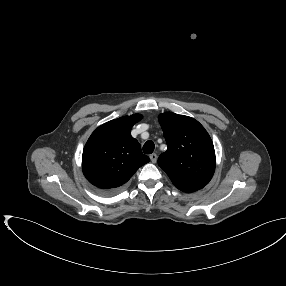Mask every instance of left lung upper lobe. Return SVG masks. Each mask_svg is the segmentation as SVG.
Here are the masks:
<instances>
[{
    "label": "left lung upper lobe",
    "mask_w": 286,
    "mask_h": 286,
    "mask_svg": "<svg viewBox=\"0 0 286 286\" xmlns=\"http://www.w3.org/2000/svg\"><path fill=\"white\" fill-rule=\"evenodd\" d=\"M168 149L159 166L181 191L194 192L209 183L216 164L213 142L194 118L166 112L159 115Z\"/></svg>",
    "instance_id": "obj_1"
}]
</instances>
